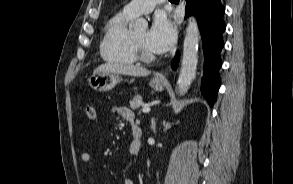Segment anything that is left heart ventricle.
Instances as JSON below:
<instances>
[{
	"mask_svg": "<svg viewBox=\"0 0 293 184\" xmlns=\"http://www.w3.org/2000/svg\"><path fill=\"white\" fill-rule=\"evenodd\" d=\"M146 36H147L146 30H142V31L136 33L133 37L140 44V46L142 47L144 52H146L147 54L154 55V53L148 48V46L146 44Z\"/></svg>",
	"mask_w": 293,
	"mask_h": 184,
	"instance_id": "b2bd125f",
	"label": "left heart ventricle"
}]
</instances>
